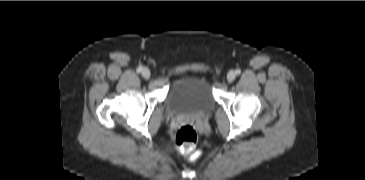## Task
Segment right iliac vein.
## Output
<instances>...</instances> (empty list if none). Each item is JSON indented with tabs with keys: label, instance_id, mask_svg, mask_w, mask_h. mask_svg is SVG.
<instances>
[{
	"label": "right iliac vein",
	"instance_id": "1",
	"mask_svg": "<svg viewBox=\"0 0 365 180\" xmlns=\"http://www.w3.org/2000/svg\"><path fill=\"white\" fill-rule=\"evenodd\" d=\"M141 72H142V75H143L144 78H146V79L150 78L151 73H150V70L148 68H146V67L143 68Z\"/></svg>",
	"mask_w": 365,
	"mask_h": 180
}]
</instances>
